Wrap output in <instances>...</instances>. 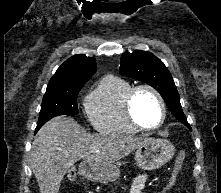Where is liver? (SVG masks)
I'll list each match as a JSON object with an SVG mask.
<instances>
[{
	"instance_id": "1",
	"label": "liver",
	"mask_w": 221,
	"mask_h": 193,
	"mask_svg": "<svg viewBox=\"0 0 221 193\" xmlns=\"http://www.w3.org/2000/svg\"><path fill=\"white\" fill-rule=\"evenodd\" d=\"M149 140L131 135H91L73 118L59 116L45 123L36 134L30 165L40 193H59L64 175L77 161L110 165Z\"/></svg>"
}]
</instances>
